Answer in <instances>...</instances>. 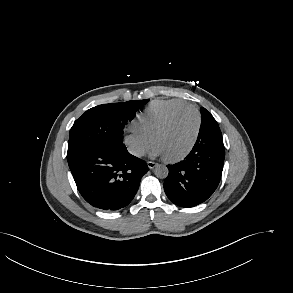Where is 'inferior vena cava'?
Instances as JSON below:
<instances>
[{
	"instance_id": "1",
	"label": "inferior vena cava",
	"mask_w": 293,
	"mask_h": 293,
	"mask_svg": "<svg viewBox=\"0 0 293 293\" xmlns=\"http://www.w3.org/2000/svg\"><path fill=\"white\" fill-rule=\"evenodd\" d=\"M129 152L137 157H141L144 155V150L141 148H130Z\"/></svg>"
}]
</instances>
